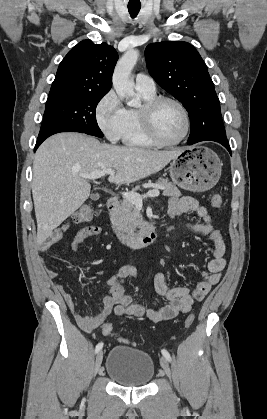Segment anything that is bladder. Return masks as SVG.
I'll return each instance as SVG.
<instances>
[{
  "instance_id": "bladder-1",
  "label": "bladder",
  "mask_w": 267,
  "mask_h": 419,
  "mask_svg": "<svg viewBox=\"0 0 267 419\" xmlns=\"http://www.w3.org/2000/svg\"><path fill=\"white\" fill-rule=\"evenodd\" d=\"M105 372L115 383L127 387L145 386L155 374L152 357L125 345L113 347L106 360Z\"/></svg>"
}]
</instances>
